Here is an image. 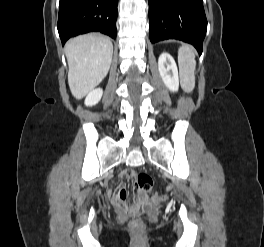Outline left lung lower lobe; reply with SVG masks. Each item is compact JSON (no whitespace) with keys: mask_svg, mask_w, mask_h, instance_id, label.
Here are the masks:
<instances>
[{"mask_svg":"<svg viewBox=\"0 0 264 247\" xmlns=\"http://www.w3.org/2000/svg\"><path fill=\"white\" fill-rule=\"evenodd\" d=\"M152 43L176 39L192 44L199 54L207 30L203 0H148Z\"/></svg>","mask_w":264,"mask_h":247,"instance_id":"1","label":"left lung lower lobe"}]
</instances>
